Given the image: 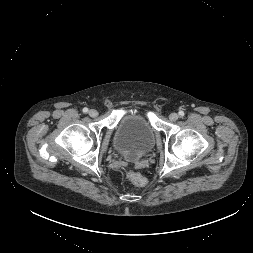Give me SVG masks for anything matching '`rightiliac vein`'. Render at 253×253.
Segmentation results:
<instances>
[{
  "label": "right iliac vein",
  "mask_w": 253,
  "mask_h": 253,
  "mask_svg": "<svg viewBox=\"0 0 253 253\" xmlns=\"http://www.w3.org/2000/svg\"><path fill=\"white\" fill-rule=\"evenodd\" d=\"M88 114H89L91 117H97V116H98V112H97V110H95V109L89 110Z\"/></svg>",
  "instance_id": "right-iliac-vein-1"
}]
</instances>
